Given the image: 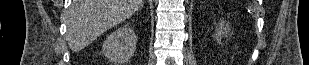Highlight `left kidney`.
<instances>
[{"instance_id":"1","label":"left kidney","mask_w":309,"mask_h":65,"mask_svg":"<svg viewBox=\"0 0 309 65\" xmlns=\"http://www.w3.org/2000/svg\"><path fill=\"white\" fill-rule=\"evenodd\" d=\"M230 30L229 24L225 23L224 21L219 22L218 27H216V32L214 34V38L217 43H221L222 37L226 36Z\"/></svg>"}]
</instances>
